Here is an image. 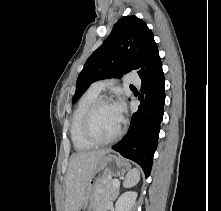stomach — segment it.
<instances>
[{
    "label": "stomach",
    "instance_id": "1",
    "mask_svg": "<svg viewBox=\"0 0 221 211\" xmlns=\"http://www.w3.org/2000/svg\"><path fill=\"white\" fill-rule=\"evenodd\" d=\"M129 170L130 164L125 159L113 154L102 156L97 163L95 172L88 181L79 211H95L93 197L96 186L106 179L121 176Z\"/></svg>",
    "mask_w": 221,
    "mask_h": 211
}]
</instances>
